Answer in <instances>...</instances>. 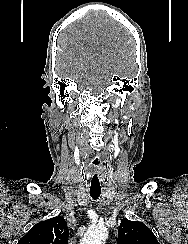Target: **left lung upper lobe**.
Listing matches in <instances>:
<instances>
[{
    "label": "left lung upper lobe",
    "instance_id": "1",
    "mask_svg": "<svg viewBox=\"0 0 188 244\" xmlns=\"http://www.w3.org/2000/svg\"><path fill=\"white\" fill-rule=\"evenodd\" d=\"M117 242L118 244H159L146 225L126 218L121 220Z\"/></svg>",
    "mask_w": 188,
    "mask_h": 244
}]
</instances>
